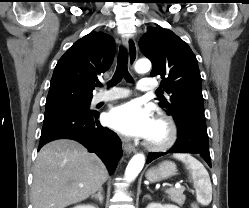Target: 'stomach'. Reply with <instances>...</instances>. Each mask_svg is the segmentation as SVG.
Returning a JSON list of instances; mask_svg holds the SVG:
<instances>
[{
  "instance_id": "0dacf381",
  "label": "stomach",
  "mask_w": 249,
  "mask_h": 208,
  "mask_svg": "<svg viewBox=\"0 0 249 208\" xmlns=\"http://www.w3.org/2000/svg\"><path fill=\"white\" fill-rule=\"evenodd\" d=\"M177 168L175 163L171 161H163L156 167L150 168L146 172V179L152 183H156L168 179L176 174Z\"/></svg>"
}]
</instances>
